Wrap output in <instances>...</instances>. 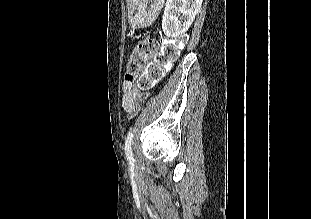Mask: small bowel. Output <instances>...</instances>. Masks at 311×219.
I'll return each instance as SVG.
<instances>
[{
    "mask_svg": "<svg viewBox=\"0 0 311 219\" xmlns=\"http://www.w3.org/2000/svg\"><path fill=\"white\" fill-rule=\"evenodd\" d=\"M133 82L134 76H132L131 74H126L122 83V108L129 115H134L138 111L142 102L148 96L147 92H140L135 89L133 86Z\"/></svg>",
    "mask_w": 311,
    "mask_h": 219,
    "instance_id": "1",
    "label": "small bowel"
}]
</instances>
